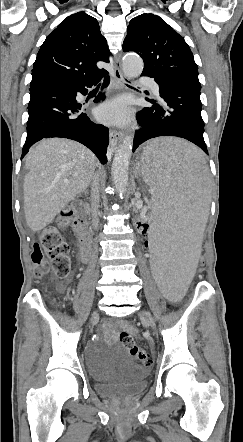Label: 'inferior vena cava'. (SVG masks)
<instances>
[{"label":"inferior vena cava","mask_w":243,"mask_h":442,"mask_svg":"<svg viewBox=\"0 0 243 442\" xmlns=\"http://www.w3.org/2000/svg\"><path fill=\"white\" fill-rule=\"evenodd\" d=\"M99 178L98 174L95 173L93 176V182H92V209H91V216H92V225L94 229L98 228L99 219L97 215V208L99 206Z\"/></svg>","instance_id":"obj_1"}]
</instances>
